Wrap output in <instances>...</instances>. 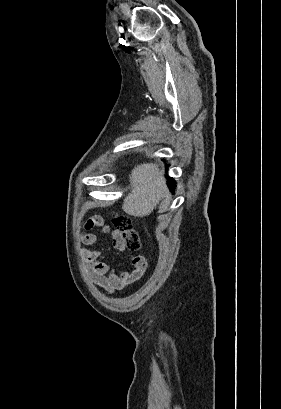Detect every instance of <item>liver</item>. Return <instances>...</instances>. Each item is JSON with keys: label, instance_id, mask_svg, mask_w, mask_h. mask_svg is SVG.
<instances>
[{"label": "liver", "instance_id": "obj_1", "mask_svg": "<svg viewBox=\"0 0 281 409\" xmlns=\"http://www.w3.org/2000/svg\"><path fill=\"white\" fill-rule=\"evenodd\" d=\"M129 178L134 188L125 196L122 209L133 217H147L153 213L167 192L165 178L153 162L137 164Z\"/></svg>", "mask_w": 281, "mask_h": 409}]
</instances>
